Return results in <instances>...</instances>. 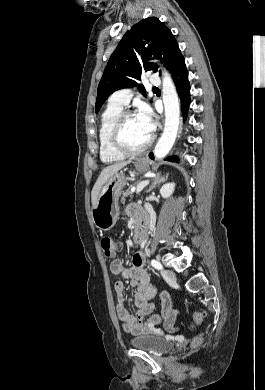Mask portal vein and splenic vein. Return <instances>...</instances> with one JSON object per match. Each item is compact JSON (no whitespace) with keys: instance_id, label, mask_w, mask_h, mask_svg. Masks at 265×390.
<instances>
[{"instance_id":"1","label":"portal vein and splenic vein","mask_w":265,"mask_h":390,"mask_svg":"<svg viewBox=\"0 0 265 390\" xmlns=\"http://www.w3.org/2000/svg\"><path fill=\"white\" fill-rule=\"evenodd\" d=\"M148 184H149V180H145V181L140 182L137 185L136 192L140 193ZM133 191H135V189H132V192Z\"/></svg>"}]
</instances>
